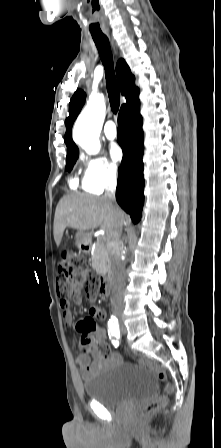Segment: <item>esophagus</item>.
<instances>
[{
	"instance_id": "1",
	"label": "esophagus",
	"mask_w": 221,
	"mask_h": 448,
	"mask_svg": "<svg viewBox=\"0 0 221 448\" xmlns=\"http://www.w3.org/2000/svg\"><path fill=\"white\" fill-rule=\"evenodd\" d=\"M110 40H111V43H112L113 46H114V40H113V38L110 37ZM114 49H115V47H114ZM115 52H116V50H115Z\"/></svg>"
}]
</instances>
